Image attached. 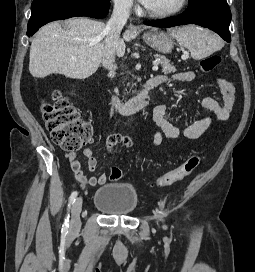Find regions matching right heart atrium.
<instances>
[{
  "mask_svg": "<svg viewBox=\"0 0 255 272\" xmlns=\"http://www.w3.org/2000/svg\"><path fill=\"white\" fill-rule=\"evenodd\" d=\"M117 10L122 12H129L133 9V0H113Z\"/></svg>",
  "mask_w": 255,
  "mask_h": 272,
  "instance_id": "right-heart-atrium-1",
  "label": "right heart atrium"
}]
</instances>
